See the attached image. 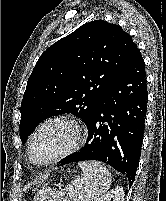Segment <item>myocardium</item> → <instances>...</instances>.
I'll return each instance as SVG.
<instances>
[{"label":"myocardium","mask_w":166,"mask_h":201,"mask_svg":"<svg viewBox=\"0 0 166 201\" xmlns=\"http://www.w3.org/2000/svg\"><path fill=\"white\" fill-rule=\"evenodd\" d=\"M53 123H64V124H67L70 127H72V129L74 130V140H73L71 146L66 151H64L54 157H51L50 159H48L44 162H41V163L35 162L32 158V151H33V146H34L36 137L46 126L53 124ZM83 139H84L83 127L76 120L69 118V117H65V116H56V117L49 118V119L43 121L42 123H40L31 135L28 149H27L29 161L31 164L39 166V167L49 166L54 163H57L65 158L69 157L73 153H75L80 148V146L83 142Z\"/></svg>","instance_id":"1"}]
</instances>
